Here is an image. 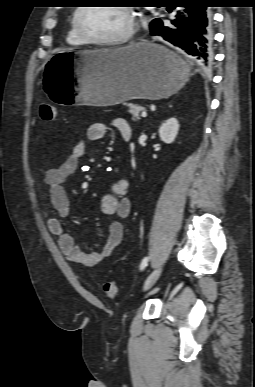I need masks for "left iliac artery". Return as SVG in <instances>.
Segmentation results:
<instances>
[{"instance_id":"obj_1","label":"left iliac artery","mask_w":255,"mask_h":387,"mask_svg":"<svg viewBox=\"0 0 255 387\" xmlns=\"http://www.w3.org/2000/svg\"><path fill=\"white\" fill-rule=\"evenodd\" d=\"M148 260H149L148 257H145V258L142 260V262H141V264H140V269H141V270H144V269H145V267L147 266Z\"/></svg>"}]
</instances>
